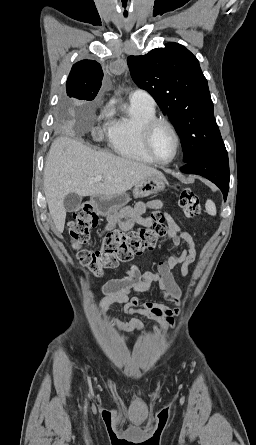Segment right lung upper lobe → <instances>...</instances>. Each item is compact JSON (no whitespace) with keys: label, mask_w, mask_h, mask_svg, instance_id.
Segmentation results:
<instances>
[{"label":"right lung upper lobe","mask_w":256,"mask_h":445,"mask_svg":"<svg viewBox=\"0 0 256 445\" xmlns=\"http://www.w3.org/2000/svg\"><path fill=\"white\" fill-rule=\"evenodd\" d=\"M103 78L101 65L94 60H82L73 65L67 79V95L81 100H93Z\"/></svg>","instance_id":"right-lung-upper-lobe-1"}]
</instances>
